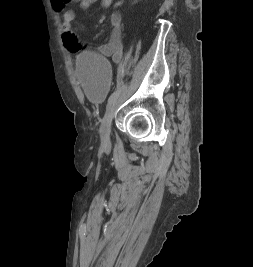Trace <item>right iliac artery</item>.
<instances>
[{
    "label": "right iliac artery",
    "instance_id": "obj_1",
    "mask_svg": "<svg viewBox=\"0 0 253 267\" xmlns=\"http://www.w3.org/2000/svg\"><path fill=\"white\" fill-rule=\"evenodd\" d=\"M120 87L116 89L108 99V105L119 95Z\"/></svg>",
    "mask_w": 253,
    "mask_h": 267
}]
</instances>
